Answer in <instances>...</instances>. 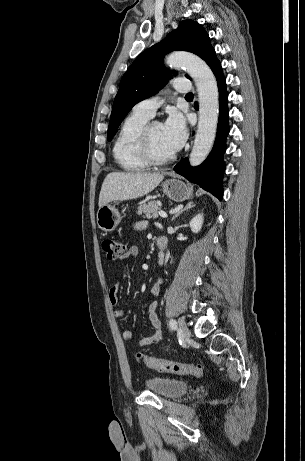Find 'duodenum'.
Returning a JSON list of instances; mask_svg holds the SVG:
<instances>
[{
	"label": "duodenum",
	"instance_id": "obj_1",
	"mask_svg": "<svg viewBox=\"0 0 305 461\" xmlns=\"http://www.w3.org/2000/svg\"><path fill=\"white\" fill-rule=\"evenodd\" d=\"M156 244L159 249L160 255L162 256L163 252L167 247V239L165 237H158Z\"/></svg>",
	"mask_w": 305,
	"mask_h": 461
}]
</instances>
